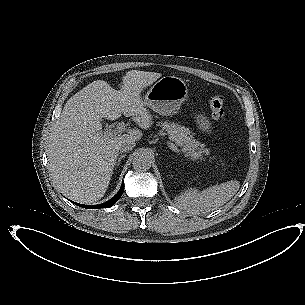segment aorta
Here are the masks:
<instances>
[{
	"instance_id": "aorta-1",
	"label": "aorta",
	"mask_w": 305,
	"mask_h": 305,
	"mask_svg": "<svg viewBox=\"0 0 305 305\" xmlns=\"http://www.w3.org/2000/svg\"><path fill=\"white\" fill-rule=\"evenodd\" d=\"M152 156L147 151L138 152L132 160V166L135 170H147L151 167Z\"/></svg>"
}]
</instances>
